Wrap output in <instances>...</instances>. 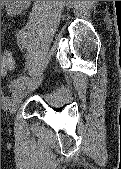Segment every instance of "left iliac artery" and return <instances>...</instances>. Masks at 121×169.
Wrapping results in <instances>:
<instances>
[{
  "label": "left iliac artery",
  "instance_id": "obj_1",
  "mask_svg": "<svg viewBox=\"0 0 121 169\" xmlns=\"http://www.w3.org/2000/svg\"><path fill=\"white\" fill-rule=\"evenodd\" d=\"M15 39H17V43H22V34H15ZM29 81L30 78L27 76L18 77L12 82V86L17 89Z\"/></svg>",
  "mask_w": 121,
  "mask_h": 169
}]
</instances>
